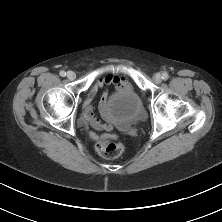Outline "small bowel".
Returning <instances> with one entry per match:
<instances>
[{
    "instance_id": "small-bowel-1",
    "label": "small bowel",
    "mask_w": 222,
    "mask_h": 222,
    "mask_svg": "<svg viewBox=\"0 0 222 222\" xmlns=\"http://www.w3.org/2000/svg\"><path fill=\"white\" fill-rule=\"evenodd\" d=\"M109 86H115L118 91L131 88L129 81L124 75L106 74L100 76L98 82L93 86L88 98L84 102V120L98 131L111 132L113 130V124L106 114L107 102L109 100ZM100 90H102V95L99 102V109L105 122H102L94 114V98ZM104 137L105 136H102V138ZM93 138L98 139L99 137L93 135Z\"/></svg>"
}]
</instances>
